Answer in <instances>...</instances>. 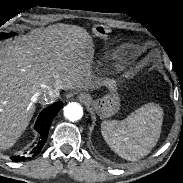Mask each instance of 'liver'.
Instances as JSON below:
<instances>
[{
    "label": "liver",
    "mask_w": 183,
    "mask_h": 183,
    "mask_svg": "<svg viewBox=\"0 0 183 183\" xmlns=\"http://www.w3.org/2000/svg\"><path fill=\"white\" fill-rule=\"evenodd\" d=\"M88 33L51 27L7 44L0 52V146L10 147L35 110L34 96L47 86H89L98 70Z\"/></svg>",
    "instance_id": "6515ba94"
}]
</instances>
